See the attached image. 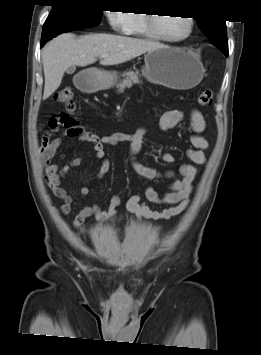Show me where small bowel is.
<instances>
[{"label":"small bowel","instance_id":"1","mask_svg":"<svg viewBox=\"0 0 261 355\" xmlns=\"http://www.w3.org/2000/svg\"><path fill=\"white\" fill-rule=\"evenodd\" d=\"M54 119V118H52ZM48 122H51V120ZM59 126L53 131L58 130L61 126L66 127L61 134L52 137L51 134L45 133L39 146V154L42 165L45 167V183L52 191L56 198L63 201L59 207L62 215L71 212L73 197L62 187V182L67 177L72 168L81 164V158H74L67 164L59 166L51 163L58 153L60 146L66 140L78 139L80 141L89 142L93 145L94 155L100 160L101 167L97 175L98 179L104 177L109 171L111 161L108 158L106 146L128 145L130 165L137 175L145 180L155 179H172L176 175L180 178L172 182L169 188L160 192L153 188L145 191V198L148 202L154 204H165L167 208L162 210H154L148 206L139 195L131 196L126 202V208L134 214L133 222L137 223L141 220H166L181 214L187 209L190 203V195L193 191V181L198 173L196 165L203 164L206 160L204 150L208 146V142L200 134L205 130L206 123L202 113L199 110H193L190 114L189 146L185 149L184 154L189 162L181 164L175 170H159L140 163L137 155L143 149V138L147 132L144 127L139 128L135 133H112L105 136H99L97 133L86 126L78 124L74 119H59ZM184 121V115L179 110H170L165 112L160 120V128L163 131L171 130L179 126ZM162 160L168 163L175 162L176 158L171 153H163ZM90 188L85 186L81 188L80 195L88 196ZM121 204L119 196H113L106 210H101L96 204L83 207L74 217L73 227L83 233L87 231L86 221L94 216L100 222H108L114 220L117 216V208Z\"/></svg>","mask_w":261,"mask_h":355}]
</instances>
